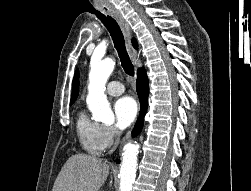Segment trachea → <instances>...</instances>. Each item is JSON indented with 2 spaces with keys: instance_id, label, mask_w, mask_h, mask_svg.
<instances>
[{
  "instance_id": "trachea-1",
  "label": "trachea",
  "mask_w": 251,
  "mask_h": 191,
  "mask_svg": "<svg viewBox=\"0 0 251 191\" xmlns=\"http://www.w3.org/2000/svg\"><path fill=\"white\" fill-rule=\"evenodd\" d=\"M98 18L105 25L111 35L125 73L129 76H134L135 69L127 53L124 36L118 23L109 15H98Z\"/></svg>"
}]
</instances>
